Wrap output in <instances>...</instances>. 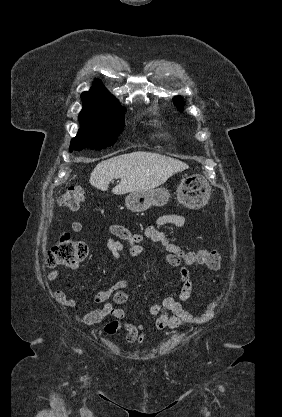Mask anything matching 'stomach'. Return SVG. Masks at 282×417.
I'll use <instances>...</instances> for the list:
<instances>
[{"label": "stomach", "instance_id": "stomach-1", "mask_svg": "<svg viewBox=\"0 0 282 417\" xmlns=\"http://www.w3.org/2000/svg\"><path fill=\"white\" fill-rule=\"evenodd\" d=\"M195 192V194H191ZM211 194V186L200 174H191L183 178L177 188V200L187 209H202L207 204ZM170 198L168 188H148V190H135L125 198V204L132 213H143L150 206H163Z\"/></svg>", "mask_w": 282, "mask_h": 417}]
</instances>
